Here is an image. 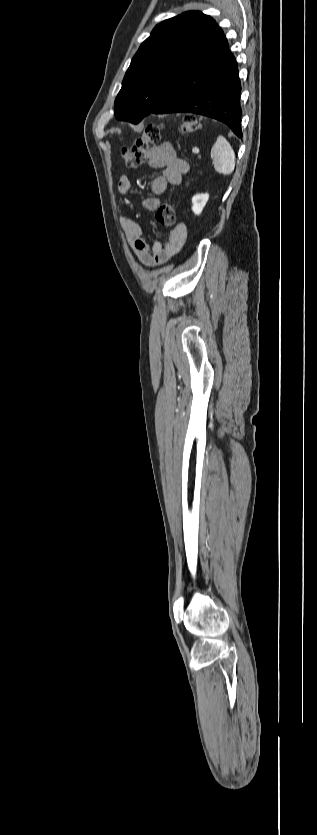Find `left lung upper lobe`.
<instances>
[{"label": "left lung upper lobe", "mask_w": 317, "mask_h": 835, "mask_svg": "<svg viewBox=\"0 0 317 835\" xmlns=\"http://www.w3.org/2000/svg\"><path fill=\"white\" fill-rule=\"evenodd\" d=\"M217 29L211 17L196 11L158 24L125 74L115 100L116 118L137 124L162 106Z\"/></svg>", "instance_id": "1"}]
</instances>
